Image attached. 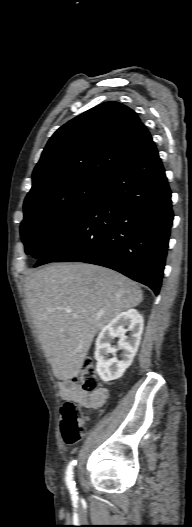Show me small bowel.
<instances>
[{
    "label": "small bowel",
    "instance_id": "1",
    "mask_svg": "<svg viewBox=\"0 0 192 527\" xmlns=\"http://www.w3.org/2000/svg\"><path fill=\"white\" fill-rule=\"evenodd\" d=\"M62 395L66 399L77 402L85 409H96L105 402L108 391L105 388H98L95 391L87 392L75 383L64 381L62 383Z\"/></svg>",
    "mask_w": 192,
    "mask_h": 527
}]
</instances>
